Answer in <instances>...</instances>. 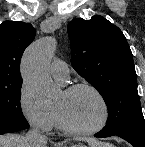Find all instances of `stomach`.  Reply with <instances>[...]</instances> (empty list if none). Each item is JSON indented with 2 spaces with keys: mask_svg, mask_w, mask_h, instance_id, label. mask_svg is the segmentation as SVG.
Here are the masks:
<instances>
[{
  "mask_svg": "<svg viewBox=\"0 0 145 147\" xmlns=\"http://www.w3.org/2000/svg\"><path fill=\"white\" fill-rule=\"evenodd\" d=\"M71 147H85V146L78 144V145H72Z\"/></svg>",
  "mask_w": 145,
  "mask_h": 147,
  "instance_id": "obj_1",
  "label": "stomach"
}]
</instances>
